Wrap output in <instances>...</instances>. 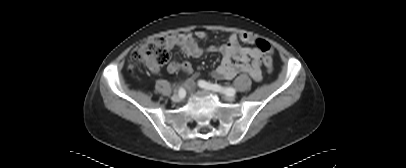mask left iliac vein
<instances>
[{
    "label": "left iliac vein",
    "instance_id": "obj_1",
    "mask_svg": "<svg viewBox=\"0 0 406 168\" xmlns=\"http://www.w3.org/2000/svg\"><path fill=\"white\" fill-rule=\"evenodd\" d=\"M210 92H213V91H210ZM224 99L227 100V101H230V102L234 101L235 100V94H233V95H225Z\"/></svg>",
    "mask_w": 406,
    "mask_h": 168
}]
</instances>
